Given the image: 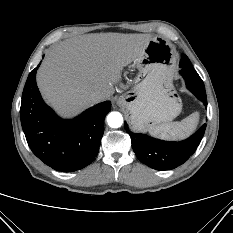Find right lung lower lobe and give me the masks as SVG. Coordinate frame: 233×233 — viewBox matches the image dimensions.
<instances>
[{
	"label": "right lung lower lobe",
	"instance_id": "98d812e1",
	"mask_svg": "<svg viewBox=\"0 0 233 233\" xmlns=\"http://www.w3.org/2000/svg\"><path fill=\"white\" fill-rule=\"evenodd\" d=\"M33 69L26 81L20 117L32 152L54 170L73 172L89 165L98 154L104 133V119L110 101L99 103L72 120L60 119L45 104Z\"/></svg>",
	"mask_w": 233,
	"mask_h": 233
}]
</instances>
